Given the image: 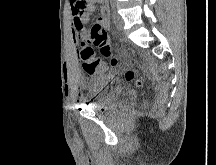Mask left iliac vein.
Segmentation results:
<instances>
[{
	"label": "left iliac vein",
	"mask_w": 216,
	"mask_h": 165,
	"mask_svg": "<svg viewBox=\"0 0 216 165\" xmlns=\"http://www.w3.org/2000/svg\"><path fill=\"white\" fill-rule=\"evenodd\" d=\"M113 23H114L116 29H118V30L123 29V26H124L123 19L117 12H114V14H113Z\"/></svg>",
	"instance_id": "4c4485c4"
}]
</instances>
